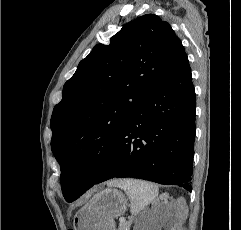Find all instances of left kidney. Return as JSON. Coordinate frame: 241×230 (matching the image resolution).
Masks as SVG:
<instances>
[{
	"mask_svg": "<svg viewBox=\"0 0 241 230\" xmlns=\"http://www.w3.org/2000/svg\"><path fill=\"white\" fill-rule=\"evenodd\" d=\"M136 230H154V226L150 224H143L139 226Z\"/></svg>",
	"mask_w": 241,
	"mask_h": 230,
	"instance_id": "5707ae66",
	"label": "left kidney"
}]
</instances>
